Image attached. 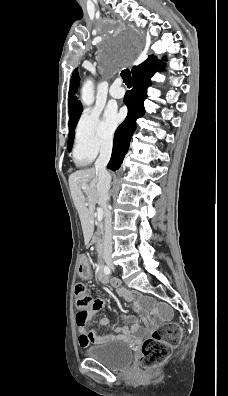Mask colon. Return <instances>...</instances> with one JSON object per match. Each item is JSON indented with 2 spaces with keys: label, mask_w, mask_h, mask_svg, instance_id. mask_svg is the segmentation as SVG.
Wrapping results in <instances>:
<instances>
[{
  "label": "colon",
  "mask_w": 228,
  "mask_h": 396,
  "mask_svg": "<svg viewBox=\"0 0 228 396\" xmlns=\"http://www.w3.org/2000/svg\"><path fill=\"white\" fill-rule=\"evenodd\" d=\"M74 292L78 308L76 323L78 327H85L94 301L83 283H77ZM181 335L182 329L176 323L168 322L158 326L142 344L139 358L141 367L152 369L161 365L178 345Z\"/></svg>",
  "instance_id": "colon-1"
}]
</instances>
